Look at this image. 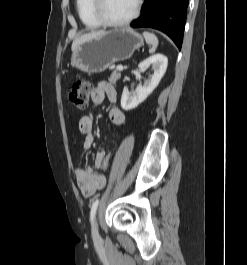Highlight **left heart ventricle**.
<instances>
[{
  "label": "left heart ventricle",
  "mask_w": 247,
  "mask_h": 265,
  "mask_svg": "<svg viewBox=\"0 0 247 265\" xmlns=\"http://www.w3.org/2000/svg\"><path fill=\"white\" fill-rule=\"evenodd\" d=\"M136 0H105L104 13L109 19L124 20L131 15Z\"/></svg>",
  "instance_id": "1"
}]
</instances>
